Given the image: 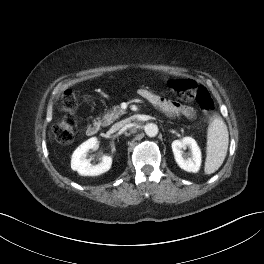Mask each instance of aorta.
Masks as SVG:
<instances>
[{
  "label": "aorta",
  "mask_w": 264,
  "mask_h": 264,
  "mask_svg": "<svg viewBox=\"0 0 264 264\" xmlns=\"http://www.w3.org/2000/svg\"><path fill=\"white\" fill-rule=\"evenodd\" d=\"M158 126L154 123H149L145 126V133L149 137H155L158 134Z\"/></svg>",
  "instance_id": "aorta-1"
}]
</instances>
